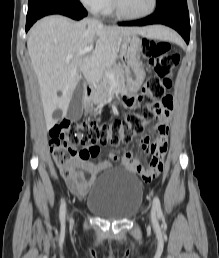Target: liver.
Masks as SVG:
<instances>
[{"instance_id":"liver-1","label":"liver","mask_w":219,"mask_h":258,"mask_svg":"<svg viewBox=\"0 0 219 258\" xmlns=\"http://www.w3.org/2000/svg\"><path fill=\"white\" fill-rule=\"evenodd\" d=\"M165 31L159 26H104L92 19L73 22L61 15L38 21L29 32L27 48L38 79L47 126L50 128L57 122L52 118L56 109L62 110L63 117L66 115L80 73L88 83H97L103 72L114 65L124 36L140 34L165 39ZM169 34L176 38L173 33ZM94 44L91 54L80 55ZM68 56L73 58L67 61Z\"/></svg>"}]
</instances>
